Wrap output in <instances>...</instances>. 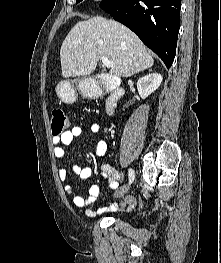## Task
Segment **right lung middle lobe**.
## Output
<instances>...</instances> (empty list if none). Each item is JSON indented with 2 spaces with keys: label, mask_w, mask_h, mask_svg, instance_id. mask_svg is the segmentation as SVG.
Returning <instances> with one entry per match:
<instances>
[{
  "label": "right lung middle lobe",
  "mask_w": 221,
  "mask_h": 263,
  "mask_svg": "<svg viewBox=\"0 0 221 263\" xmlns=\"http://www.w3.org/2000/svg\"><path fill=\"white\" fill-rule=\"evenodd\" d=\"M80 1H82V0H76V3H79Z\"/></svg>",
  "instance_id": "dd1d6c3e"
}]
</instances>
